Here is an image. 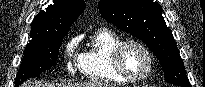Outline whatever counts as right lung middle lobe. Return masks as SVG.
<instances>
[{"instance_id":"obj_1","label":"right lung middle lobe","mask_w":205,"mask_h":87,"mask_svg":"<svg viewBox=\"0 0 205 87\" xmlns=\"http://www.w3.org/2000/svg\"><path fill=\"white\" fill-rule=\"evenodd\" d=\"M64 35L31 40L27 44L20 69L16 75L15 87L53 66L59 55Z\"/></svg>"}]
</instances>
